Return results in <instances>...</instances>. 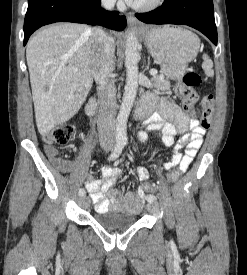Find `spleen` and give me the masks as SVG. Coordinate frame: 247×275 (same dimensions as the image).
<instances>
[{"instance_id": "1", "label": "spleen", "mask_w": 247, "mask_h": 275, "mask_svg": "<svg viewBox=\"0 0 247 275\" xmlns=\"http://www.w3.org/2000/svg\"><path fill=\"white\" fill-rule=\"evenodd\" d=\"M203 64H202V68L204 69L205 73L208 75V76H212L214 74V71H213V62L212 60L209 58V56L207 54H204L203 55Z\"/></svg>"}]
</instances>
